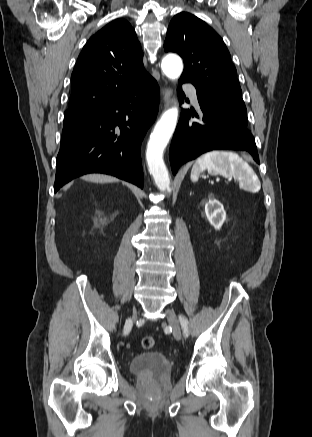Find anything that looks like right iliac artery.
Masks as SVG:
<instances>
[{
	"label": "right iliac artery",
	"instance_id": "1",
	"mask_svg": "<svg viewBox=\"0 0 312 437\" xmlns=\"http://www.w3.org/2000/svg\"><path fill=\"white\" fill-rule=\"evenodd\" d=\"M131 327H132L131 319L126 320V324H125V327H124V334H128L130 329H131Z\"/></svg>",
	"mask_w": 312,
	"mask_h": 437
}]
</instances>
